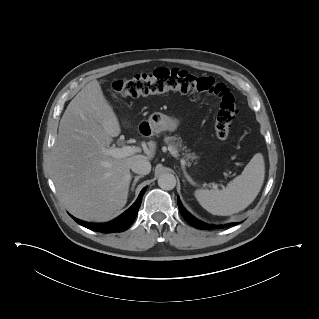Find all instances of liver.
Returning <instances> with one entry per match:
<instances>
[{"instance_id": "6515ba94", "label": "liver", "mask_w": 319, "mask_h": 319, "mask_svg": "<svg viewBox=\"0 0 319 319\" xmlns=\"http://www.w3.org/2000/svg\"><path fill=\"white\" fill-rule=\"evenodd\" d=\"M121 133L118 118L97 80L89 82L69 103L59 124L52 150V179L71 214L85 221L103 222L122 209L131 181L130 166L147 155L113 158L102 152Z\"/></svg>"}]
</instances>
